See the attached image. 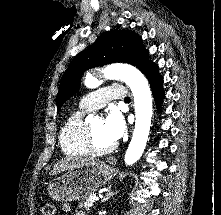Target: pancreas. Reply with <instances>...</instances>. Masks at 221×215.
Listing matches in <instances>:
<instances>
[{
    "label": "pancreas",
    "instance_id": "1",
    "mask_svg": "<svg viewBox=\"0 0 221 215\" xmlns=\"http://www.w3.org/2000/svg\"><path fill=\"white\" fill-rule=\"evenodd\" d=\"M94 196L95 195H91L86 201L79 205V208H85L86 210H89V208L92 207L95 203V200L93 199Z\"/></svg>",
    "mask_w": 221,
    "mask_h": 215
}]
</instances>
